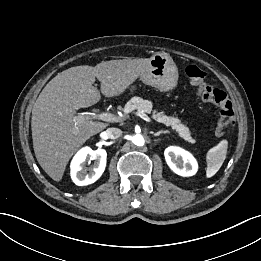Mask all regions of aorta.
Here are the masks:
<instances>
[{
	"label": "aorta",
	"instance_id": "aorta-1",
	"mask_svg": "<svg viewBox=\"0 0 261 261\" xmlns=\"http://www.w3.org/2000/svg\"><path fill=\"white\" fill-rule=\"evenodd\" d=\"M133 144L137 146H143L145 143V140L141 134H136L132 137Z\"/></svg>",
	"mask_w": 261,
	"mask_h": 261
}]
</instances>
